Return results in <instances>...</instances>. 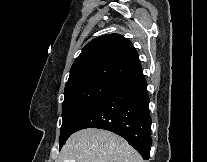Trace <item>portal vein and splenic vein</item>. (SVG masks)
<instances>
[{"label":"portal vein and splenic vein","instance_id":"18ae733b","mask_svg":"<svg viewBox=\"0 0 207 162\" xmlns=\"http://www.w3.org/2000/svg\"><path fill=\"white\" fill-rule=\"evenodd\" d=\"M66 162H75V161H66Z\"/></svg>","mask_w":207,"mask_h":162}]
</instances>
